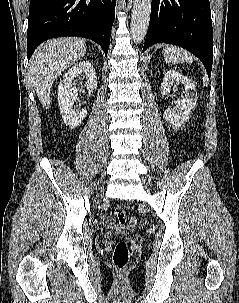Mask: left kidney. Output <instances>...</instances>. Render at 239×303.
Returning a JSON list of instances; mask_svg holds the SVG:
<instances>
[{"label": "left kidney", "instance_id": "left-kidney-1", "mask_svg": "<svg viewBox=\"0 0 239 303\" xmlns=\"http://www.w3.org/2000/svg\"><path fill=\"white\" fill-rule=\"evenodd\" d=\"M181 83L184 86V96L174 101L175 106L168 107L163 114V118L176 128L183 126L189 120V114L197 104V91L192 81L175 70L165 73L160 91L163 95H168L175 84ZM173 96V94H172Z\"/></svg>", "mask_w": 239, "mask_h": 303}]
</instances>
